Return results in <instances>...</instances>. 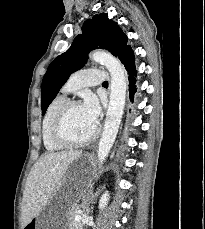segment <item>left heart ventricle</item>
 Returning a JSON list of instances; mask_svg holds the SVG:
<instances>
[{"mask_svg": "<svg viewBox=\"0 0 205 229\" xmlns=\"http://www.w3.org/2000/svg\"><path fill=\"white\" fill-rule=\"evenodd\" d=\"M96 123L86 115L81 105L74 106L67 114L64 124V135L74 141L87 138L94 130Z\"/></svg>", "mask_w": 205, "mask_h": 229, "instance_id": "1", "label": "left heart ventricle"}]
</instances>
